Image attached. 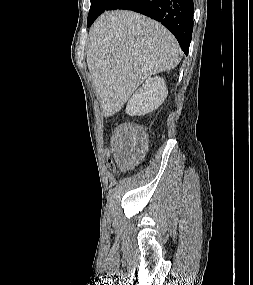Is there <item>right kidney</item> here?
Listing matches in <instances>:
<instances>
[{
    "label": "right kidney",
    "mask_w": 253,
    "mask_h": 285,
    "mask_svg": "<svg viewBox=\"0 0 253 285\" xmlns=\"http://www.w3.org/2000/svg\"><path fill=\"white\" fill-rule=\"evenodd\" d=\"M168 90L162 77L148 78L129 99L126 112L132 116H142L156 110L166 99Z\"/></svg>",
    "instance_id": "right-kidney-1"
}]
</instances>
